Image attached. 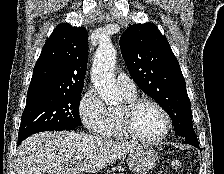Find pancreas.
Segmentation results:
<instances>
[{
	"instance_id": "cf45deb5",
	"label": "pancreas",
	"mask_w": 224,
	"mask_h": 174,
	"mask_svg": "<svg viewBox=\"0 0 224 174\" xmlns=\"http://www.w3.org/2000/svg\"><path fill=\"white\" fill-rule=\"evenodd\" d=\"M116 169H117L118 171H122L121 168H112V170H111V171H108L107 174H110L111 172H114ZM113 174H115V173H113Z\"/></svg>"
}]
</instances>
